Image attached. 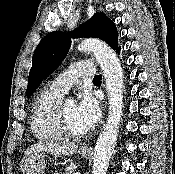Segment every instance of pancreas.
I'll use <instances>...</instances> for the list:
<instances>
[{
  "mask_svg": "<svg viewBox=\"0 0 175 174\" xmlns=\"http://www.w3.org/2000/svg\"><path fill=\"white\" fill-rule=\"evenodd\" d=\"M76 166L71 164L69 167H66L65 174H75Z\"/></svg>",
  "mask_w": 175,
  "mask_h": 174,
  "instance_id": "pancreas-1",
  "label": "pancreas"
}]
</instances>
